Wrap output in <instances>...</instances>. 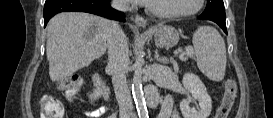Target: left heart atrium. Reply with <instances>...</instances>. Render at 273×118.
Instances as JSON below:
<instances>
[{
  "instance_id": "39dd6f15",
  "label": "left heart atrium",
  "mask_w": 273,
  "mask_h": 118,
  "mask_svg": "<svg viewBox=\"0 0 273 118\" xmlns=\"http://www.w3.org/2000/svg\"><path fill=\"white\" fill-rule=\"evenodd\" d=\"M139 3H148L150 0H137Z\"/></svg>"
}]
</instances>
